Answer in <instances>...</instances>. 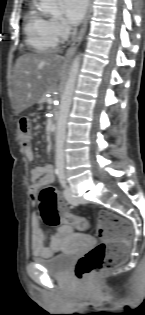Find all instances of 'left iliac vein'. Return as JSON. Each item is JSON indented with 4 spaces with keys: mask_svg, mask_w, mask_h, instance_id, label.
<instances>
[{
    "mask_svg": "<svg viewBox=\"0 0 145 315\" xmlns=\"http://www.w3.org/2000/svg\"><path fill=\"white\" fill-rule=\"evenodd\" d=\"M64 197L69 203H71L73 205L79 204V200L74 196V193L70 187H67L64 190Z\"/></svg>",
    "mask_w": 145,
    "mask_h": 315,
    "instance_id": "obj_1",
    "label": "left iliac vein"
}]
</instances>
